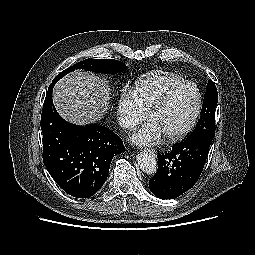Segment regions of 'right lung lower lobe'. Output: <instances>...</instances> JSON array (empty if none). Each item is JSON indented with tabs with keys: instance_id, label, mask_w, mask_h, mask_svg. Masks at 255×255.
I'll use <instances>...</instances> for the list:
<instances>
[{
	"instance_id": "right-lung-lower-lobe-1",
	"label": "right lung lower lobe",
	"mask_w": 255,
	"mask_h": 255,
	"mask_svg": "<svg viewBox=\"0 0 255 255\" xmlns=\"http://www.w3.org/2000/svg\"><path fill=\"white\" fill-rule=\"evenodd\" d=\"M50 84L43 104V161L54 181L76 198L94 195L105 183L112 158L124 151L121 138L108 128L65 121L52 101Z\"/></svg>"
}]
</instances>
